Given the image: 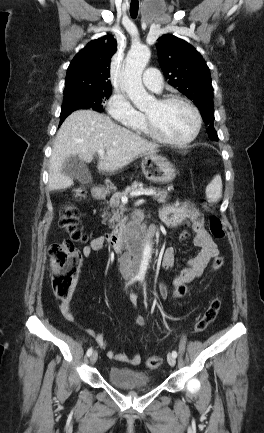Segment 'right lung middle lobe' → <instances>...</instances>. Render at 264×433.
Segmentation results:
<instances>
[{
	"label": "right lung middle lobe",
	"mask_w": 264,
	"mask_h": 433,
	"mask_svg": "<svg viewBox=\"0 0 264 433\" xmlns=\"http://www.w3.org/2000/svg\"><path fill=\"white\" fill-rule=\"evenodd\" d=\"M111 91L112 88H106L90 92L74 93L64 97L60 122H63L69 114L78 109H93L102 112V102L110 97Z\"/></svg>",
	"instance_id": "right-lung-middle-lobe-1"
}]
</instances>
